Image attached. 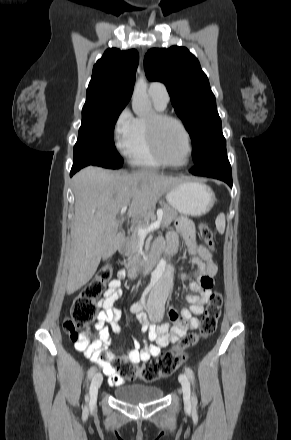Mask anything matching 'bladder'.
<instances>
[{"label":"bladder","instance_id":"1","mask_svg":"<svg viewBox=\"0 0 291 440\" xmlns=\"http://www.w3.org/2000/svg\"><path fill=\"white\" fill-rule=\"evenodd\" d=\"M163 389L154 385H126L115 388L114 396L126 403H150L163 396Z\"/></svg>","mask_w":291,"mask_h":440}]
</instances>
